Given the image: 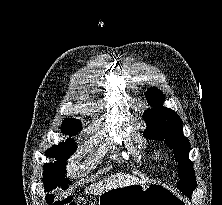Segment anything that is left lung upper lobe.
Listing matches in <instances>:
<instances>
[{
    "instance_id": "obj_1",
    "label": "left lung upper lobe",
    "mask_w": 222,
    "mask_h": 205,
    "mask_svg": "<svg viewBox=\"0 0 222 205\" xmlns=\"http://www.w3.org/2000/svg\"><path fill=\"white\" fill-rule=\"evenodd\" d=\"M145 96L153 108L143 113L147 124L144 136L154 140H165L167 146L173 149L180 175L177 186L182 193L192 194L196 180L193 163L188 158L190 143L183 135L182 120L175 111L163 107L165 98L159 89L149 88Z\"/></svg>"
}]
</instances>
